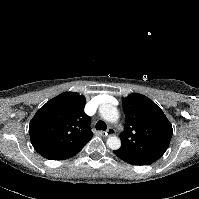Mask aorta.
I'll return each mask as SVG.
<instances>
[{
  "mask_svg": "<svg viewBox=\"0 0 199 199\" xmlns=\"http://www.w3.org/2000/svg\"><path fill=\"white\" fill-rule=\"evenodd\" d=\"M101 117L111 123L118 121L120 115L118 109L111 104H104L99 109ZM107 146L112 150H117L121 146L120 138L116 136H110L107 139Z\"/></svg>",
  "mask_w": 199,
  "mask_h": 199,
  "instance_id": "762f6f07",
  "label": "aorta"
}]
</instances>
